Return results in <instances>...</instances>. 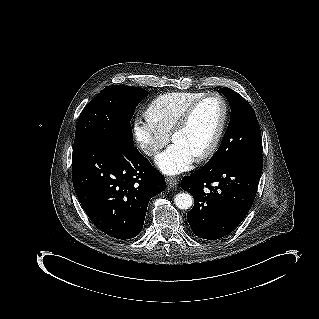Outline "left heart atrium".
<instances>
[{
    "label": "left heart atrium",
    "instance_id": "left-heart-atrium-1",
    "mask_svg": "<svg viewBox=\"0 0 319 319\" xmlns=\"http://www.w3.org/2000/svg\"><path fill=\"white\" fill-rule=\"evenodd\" d=\"M194 154L176 141L156 159V164L166 174H177L190 169Z\"/></svg>",
    "mask_w": 319,
    "mask_h": 319
}]
</instances>
